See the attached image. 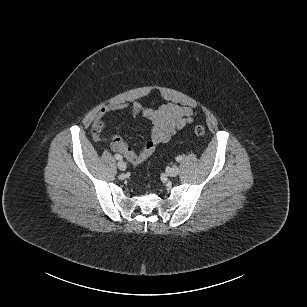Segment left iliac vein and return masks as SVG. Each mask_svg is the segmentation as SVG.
<instances>
[{
	"label": "left iliac vein",
	"mask_w": 307,
	"mask_h": 307,
	"mask_svg": "<svg viewBox=\"0 0 307 307\" xmlns=\"http://www.w3.org/2000/svg\"><path fill=\"white\" fill-rule=\"evenodd\" d=\"M178 173H179V168L176 165L172 166L169 170V176L170 177H175V176H177Z\"/></svg>",
	"instance_id": "obj_1"
}]
</instances>
